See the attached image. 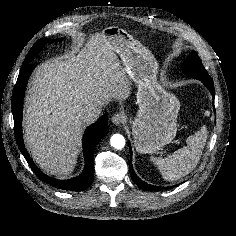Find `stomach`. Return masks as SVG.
Here are the masks:
<instances>
[{"instance_id":"obj_1","label":"stomach","mask_w":236,"mask_h":236,"mask_svg":"<svg viewBox=\"0 0 236 236\" xmlns=\"http://www.w3.org/2000/svg\"><path fill=\"white\" fill-rule=\"evenodd\" d=\"M102 34L137 86L138 111L130 120L135 148L142 154L155 153L176 136L180 102L157 81L159 66L148 49L117 26L104 28Z\"/></svg>"}]
</instances>
